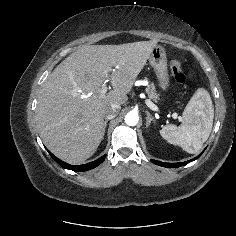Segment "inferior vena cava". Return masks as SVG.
<instances>
[{"instance_id": "1", "label": "inferior vena cava", "mask_w": 236, "mask_h": 236, "mask_svg": "<svg viewBox=\"0 0 236 236\" xmlns=\"http://www.w3.org/2000/svg\"><path fill=\"white\" fill-rule=\"evenodd\" d=\"M120 106L117 104H111L110 106L106 107L104 110V117L107 120L113 119L119 113Z\"/></svg>"}]
</instances>
